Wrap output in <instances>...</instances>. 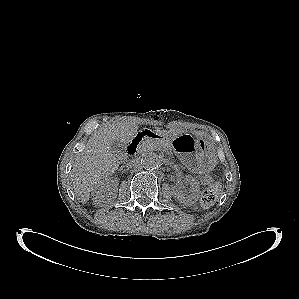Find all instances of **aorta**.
Returning <instances> with one entry per match:
<instances>
[{"mask_svg": "<svg viewBox=\"0 0 299 299\" xmlns=\"http://www.w3.org/2000/svg\"><path fill=\"white\" fill-rule=\"evenodd\" d=\"M141 163L145 169L154 170L161 166V159L155 153H148L143 156Z\"/></svg>", "mask_w": 299, "mask_h": 299, "instance_id": "762f6f07", "label": "aorta"}]
</instances>
